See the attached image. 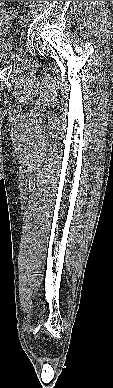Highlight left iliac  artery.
Segmentation results:
<instances>
[{
	"mask_svg": "<svg viewBox=\"0 0 113 388\" xmlns=\"http://www.w3.org/2000/svg\"><path fill=\"white\" fill-rule=\"evenodd\" d=\"M26 16L28 17V19L30 20V14L28 13V14H26Z\"/></svg>",
	"mask_w": 113,
	"mask_h": 388,
	"instance_id": "left-iliac-artery-1",
	"label": "left iliac artery"
}]
</instances>
